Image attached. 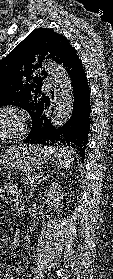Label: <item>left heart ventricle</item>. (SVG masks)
Masks as SVG:
<instances>
[{"mask_svg": "<svg viewBox=\"0 0 113 279\" xmlns=\"http://www.w3.org/2000/svg\"><path fill=\"white\" fill-rule=\"evenodd\" d=\"M16 121L10 115H3L0 117V135L14 129Z\"/></svg>", "mask_w": 113, "mask_h": 279, "instance_id": "1", "label": "left heart ventricle"}]
</instances>
